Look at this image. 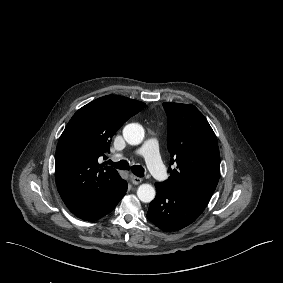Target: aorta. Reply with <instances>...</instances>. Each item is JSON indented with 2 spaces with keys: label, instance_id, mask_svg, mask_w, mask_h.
<instances>
[{
  "label": "aorta",
  "instance_id": "obj_1",
  "mask_svg": "<svg viewBox=\"0 0 283 283\" xmlns=\"http://www.w3.org/2000/svg\"><path fill=\"white\" fill-rule=\"evenodd\" d=\"M145 136L143 127L138 123H130L123 129V137L130 145L140 144ZM156 195L154 187L150 184H142L137 189V196L144 203L151 202Z\"/></svg>",
  "mask_w": 283,
  "mask_h": 283
}]
</instances>
